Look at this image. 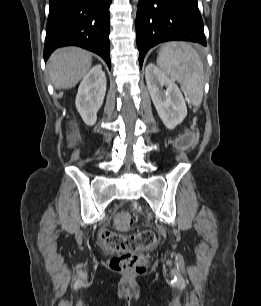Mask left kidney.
Returning <instances> with one entry per match:
<instances>
[{
    "label": "left kidney",
    "instance_id": "obj_1",
    "mask_svg": "<svg viewBox=\"0 0 261 306\" xmlns=\"http://www.w3.org/2000/svg\"><path fill=\"white\" fill-rule=\"evenodd\" d=\"M145 78L159 117L168 129H174L187 116L186 103L180 89L152 63L146 66Z\"/></svg>",
    "mask_w": 261,
    "mask_h": 306
}]
</instances>
